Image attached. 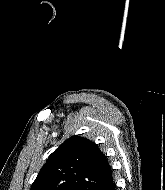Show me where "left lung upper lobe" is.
Masks as SVG:
<instances>
[{"label":"left lung upper lobe","instance_id":"5c2ea615","mask_svg":"<svg viewBox=\"0 0 165 190\" xmlns=\"http://www.w3.org/2000/svg\"><path fill=\"white\" fill-rule=\"evenodd\" d=\"M111 173L95 143L73 136L49 156L31 190H99Z\"/></svg>","mask_w":165,"mask_h":190}]
</instances>
